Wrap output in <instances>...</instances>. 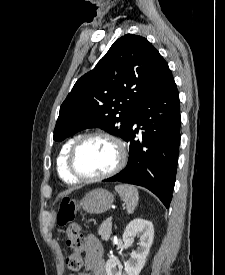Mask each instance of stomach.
<instances>
[{
  "mask_svg": "<svg viewBox=\"0 0 225 275\" xmlns=\"http://www.w3.org/2000/svg\"><path fill=\"white\" fill-rule=\"evenodd\" d=\"M113 203V196L104 189H95L81 200L83 210L90 214H101L110 209Z\"/></svg>",
  "mask_w": 225,
  "mask_h": 275,
  "instance_id": "obj_1",
  "label": "stomach"
}]
</instances>
